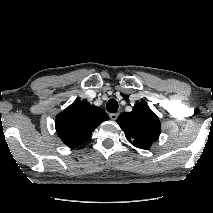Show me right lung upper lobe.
Masks as SVG:
<instances>
[{
	"instance_id": "obj_1",
	"label": "right lung upper lobe",
	"mask_w": 213,
	"mask_h": 213,
	"mask_svg": "<svg viewBox=\"0 0 213 213\" xmlns=\"http://www.w3.org/2000/svg\"><path fill=\"white\" fill-rule=\"evenodd\" d=\"M109 117L106 112L87 101H74L56 116L55 127L65 145L76 148L86 142L91 133Z\"/></svg>"
}]
</instances>
